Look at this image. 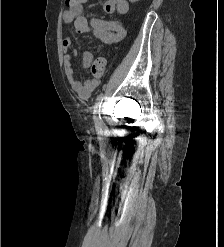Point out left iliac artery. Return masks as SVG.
<instances>
[{"instance_id": "left-iliac-artery-1", "label": "left iliac artery", "mask_w": 224, "mask_h": 247, "mask_svg": "<svg viewBox=\"0 0 224 247\" xmlns=\"http://www.w3.org/2000/svg\"><path fill=\"white\" fill-rule=\"evenodd\" d=\"M104 95L100 94L96 98L95 106H94V120H95V127L98 132H100L101 126H102V120L100 116V109H101V104L103 101Z\"/></svg>"}]
</instances>
